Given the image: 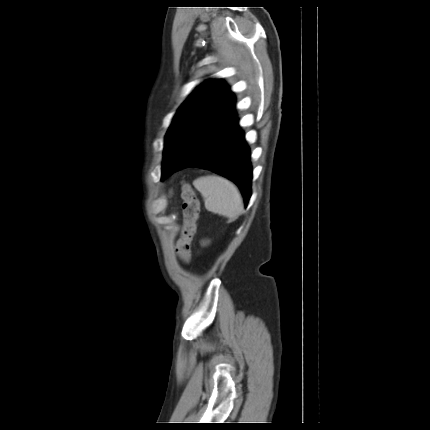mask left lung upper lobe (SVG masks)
I'll list each match as a JSON object with an SVG mask.
<instances>
[{"mask_svg": "<svg viewBox=\"0 0 430 430\" xmlns=\"http://www.w3.org/2000/svg\"><path fill=\"white\" fill-rule=\"evenodd\" d=\"M209 115L236 119L235 96L222 80L206 81L179 108L165 137V161L191 136Z\"/></svg>", "mask_w": 430, "mask_h": 430, "instance_id": "left-lung-upper-lobe-1", "label": "left lung upper lobe"}]
</instances>
